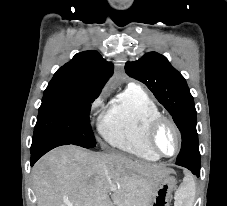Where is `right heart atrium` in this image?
<instances>
[{"mask_svg": "<svg viewBox=\"0 0 227 206\" xmlns=\"http://www.w3.org/2000/svg\"><path fill=\"white\" fill-rule=\"evenodd\" d=\"M102 103H103V95H100L91 103V106H90L91 112L92 113L97 112L102 106Z\"/></svg>", "mask_w": 227, "mask_h": 206, "instance_id": "right-heart-atrium-1", "label": "right heart atrium"}]
</instances>
